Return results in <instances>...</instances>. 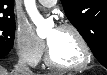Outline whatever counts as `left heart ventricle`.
Returning a JSON list of instances; mask_svg holds the SVG:
<instances>
[{"label":"left heart ventricle","instance_id":"1","mask_svg":"<svg viewBox=\"0 0 107 75\" xmlns=\"http://www.w3.org/2000/svg\"><path fill=\"white\" fill-rule=\"evenodd\" d=\"M54 60L62 65H76L83 61L84 51L76 36L67 30H51L47 36Z\"/></svg>","mask_w":107,"mask_h":75}]
</instances>
